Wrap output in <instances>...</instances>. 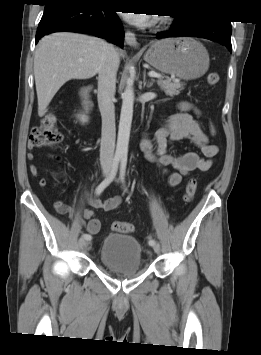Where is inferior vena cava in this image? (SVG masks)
I'll list each match as a JSON object with an SVG mask.
<instances>
[{
  "label": "inferior vena cava",
  "instance_id": "obj_1",
  "mask_svg": "<svg viewBox=\"0 0 261 355\" xmlns=\"http://www.w3.org/2000/svg\"><path fill=\"white\" fill-rule=\"evenodd\" d=\"M118 67L119 55L109 45L102 57L98 76V105L102 117L100 164L103 169L112 167L114 157L116 129L113 101Z\"/></svg>",
  "mask_w": 261,
  "mask_h": 355
}]
</instances>
